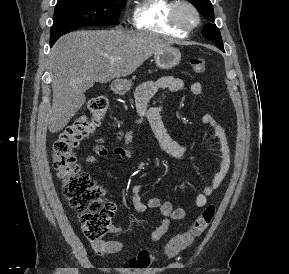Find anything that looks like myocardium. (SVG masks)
I'll list each match as a JSON object with an SVG mask.
<instances>
[{
	"label": "myocardium",
	"mask_w": 289,
	"mask_h": 274,
	"mask_svg": "<svg viewBox=\"0 0 289 274\" xmlns=\"http://www.w3.org/2000/svg\"><path fill=\"white\" fill-rule=\"evenodd\" d=\"M183 8L189 9L194 15V22L191 24H186L180 17V11ZM169 22L170 24L175 27L176 29L184 32L189 33L196 29L201 22V15L198 8L188 0H176L173 6L171 7L169 13Z\"/></svg>",
	"instance_id": "f54148a6"
}]
</instances>
